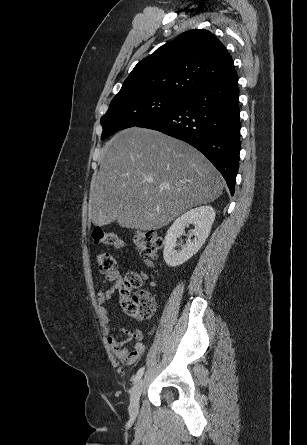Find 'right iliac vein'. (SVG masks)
Masks as SVG:
<instances>
[{
    "instance_id": "right-iliac-vein-1",
    "label": "right iliac vein",
    "mask_w": 307,
    "mask_h": 445,
    "mask_svg": "<svg viewBox=\"0 0 307 445\" xmlns=\"http://www.w3.org/2000/svg\"><path fill=\"white\" fill-rule=\"evenodd\" d=\"M143 390V379H139L132 388L130 397L129 414L135 418L139 411V399Z\"/></svg>"
}]
</instances>
